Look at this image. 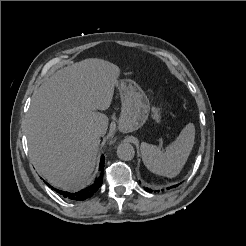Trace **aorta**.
<instances>
[{"mask_svg":"<svg viewBox=\"0 0 246 246\" xmlns=\"http://www.w3.org/2000/svg\"><path fill=\"white\" fill-rule=\"evenodd\" d=\"M135 150L134 147L127 142L119 144L117 148V156L119 159L124 161H129L134 158Z\"/></svg>","mask_w":246,"mask_h":246,"instance_id":"1","label":"aorta"}]
</instances>
